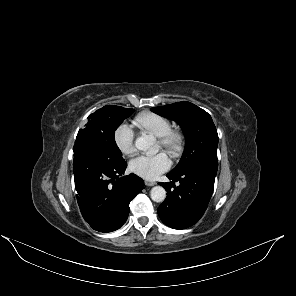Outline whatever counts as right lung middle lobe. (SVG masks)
<instances>
[{
  "mask_svg": "<svg viewBox=\"0 0 296 296\" xmlns=\"http://www.w3.org/2000/svg\"><path fill=\"white\" fill-rule=\"evenodd\" d=\"M134 112L119 106L107 105L88 116V123L79 130L76 141L88 142L106 151L113 160L122 161V153L114 140L115 131Z\"/></svg>",
  "mask_w": 296,
  "mask_h": 296,
  "instance_id": "right-lung-middle-lobe-1",
  "label": "right lung middle lobe"
}]
</instances>
